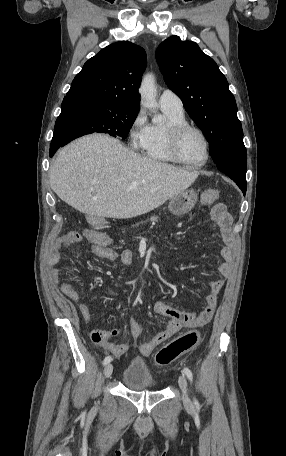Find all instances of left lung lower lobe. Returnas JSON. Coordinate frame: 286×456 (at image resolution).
<instances>
[{
  "instance_id": "0a47b994",
  "label": "left lung lower lobe",
  "mask_w": 286,
  "mask_h": 456,
  "mask_svg": "<svg viewBox=\"0 0 286 456\" xmlns=\"http://www.w3.org/2000/svg\"><path fill=\"white\" fill-rule=\"evenodd\" d=\"M246 163L240 161H226L217 164V168L229 176L242 190L243 194L246 193Z\"/></svg>"
}]
</instances>
